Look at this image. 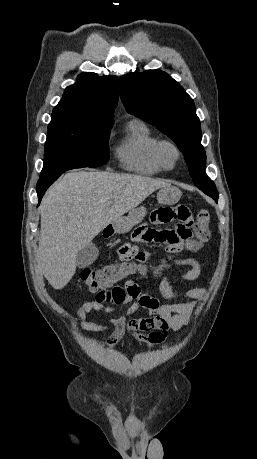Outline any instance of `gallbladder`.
I'll use <instances>...</instances> for the list:
<instances>
[{
  "instance_id": "gallbladder-1",
  "label": "gallbladder",
  "mask_w": 257,
  "mask_h": 459,
  "mask_svg": "<svg viewBox=\"0 0 257 459\" xmlns=\"http://www.w3.org/2000/svg\"><path fill=\"white\" fill-rule=\"evenodd\" d=\"M98 255L97 246L91 242L77 253L76 264L79 268L87 267L97 259Z\"/></svg>"
}]
</instances>
